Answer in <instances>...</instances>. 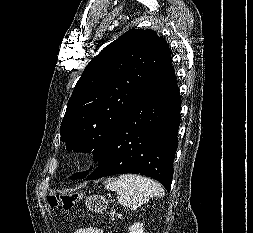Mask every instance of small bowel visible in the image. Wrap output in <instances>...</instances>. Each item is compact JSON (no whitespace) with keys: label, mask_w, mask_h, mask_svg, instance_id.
Listing matches in <instances>:
<instances>
[{"label":"small bowel","mask_w":253,"mask_h":233,"mask_svg":"<svg viewBox=\"0 0 253 233\" xmlns=\"http://www.w3.org/2000/svg\"><path fill=\"white\" fill-rule=\"evenodd\" d=\"M75 233H103V232L98 228L91 227V228L77 230Z\"/></svg>","instance_id":"c3829d8e"}]
</instances>
